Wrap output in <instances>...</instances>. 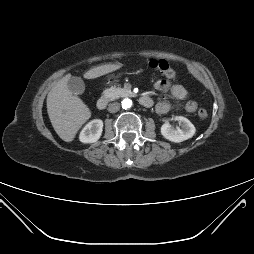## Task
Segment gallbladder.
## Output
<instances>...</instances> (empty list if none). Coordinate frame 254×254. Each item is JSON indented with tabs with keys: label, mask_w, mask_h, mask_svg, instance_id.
<instances>
[{
	"label": "gallbladder",
	"mask_w": 254,
	"mask_h": 254,
	"mask_svg": "<svg viewBox=\"0 0 254 254\" xmlns=\"http://www.w3.org/2000/svg\"><path fill=\"white\" fill-rule=\"evenodd\" d=\"M68 89L73 94H82L85 90V84L80 77L71 76L67 82Z\"/></svg>",
	"instance_id": "bac80fb5"
}]
</instances>
